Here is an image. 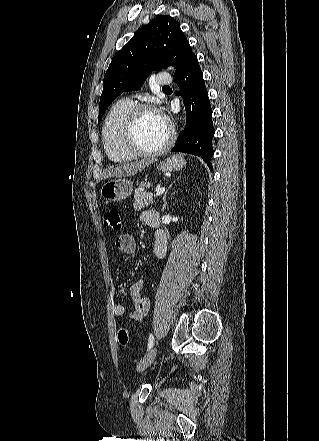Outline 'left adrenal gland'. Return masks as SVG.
I'll list each match as a JSON object with an SVG mask.
<instances>
[{
    "mask_svg": "<svg viewBox=\"0 0 319 441\" xmlns=\"http://www.w3.org/2000/svg\"><path fill=\"white\" fill-rule=\"evenodd\" d=\"M179 180V178H177V181ZM176 181H173V183H171V185L168 187V189L165 191V194H164V196H163V206H162V210L161 211H164L165 209H166V206H167V202H166V196H167V194H168V192H169V190L172 188V186H173V184L175 183Z\"/></svg>",
    "mask_w": 319,
    "mask_h": 441,
    "instance_id": "a2214340",
    "label": "left adrenal gland"
}]
</instances>
